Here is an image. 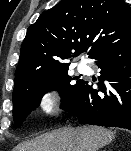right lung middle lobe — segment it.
<instances>
[{"mask_svg":"<svg viewBox=\"0 0 131 151\" xmlns=\"http://www.w3.org/2000/svg\"><path fill=\"white\" fill-rule=\"evenodd\" d=\"M68 66L45 73L24 86L13 90V120L20 126L32 109L40 104L42 96L51 91L58 90L63 108L72 98L77 86L82 81L67 75ZM77 80L73 82V80Z\"/></svg>","mask_w":131,"mask_h":151,"instance_id":"1","label":"right lung middle lobe"}]
</instances>
